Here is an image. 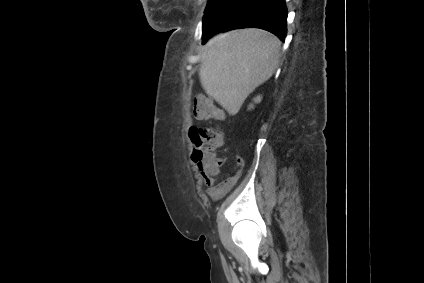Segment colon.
<instances>
[{
    "label": "colon",
    "mask_w": 424,
    "mask_h": 283,
    "mask_svg": "<svg viewBox=\"0 0 424 283\" xmlns=\"http://www.w3.org/2000/svg\"><path fill=\"white\" fill-rule=\"evenodd\" d=\"M193 114L197 119H221L223 114L209 99L199 97L193 106ZM190 137L196 145L193 160L209 167L218 165L215 150L224 145V133L213 127L192 128Z\"/></svg>",
    "instance_id": "obj_1"
}]
</instances>
